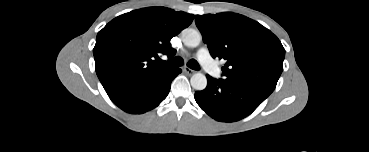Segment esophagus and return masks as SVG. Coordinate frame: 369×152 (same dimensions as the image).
Here are the masks:
<instances>
[{
  "instance_id": "34e87169",
  "label": "esophagus",
  "mask_w": 369,
  "mask_h": 152,
  "mask_svg": "<svg viewBox=\"0 0 369 152\" xmlns=\"http://www.w3.org/2000/svg\"><path fill=\"white\" fill-rule=\"evenodd\" d=\"M183 72H184L185 74L191 75V74H194V73H195V70H193V69H191V68H189V67H184V68H183Z\"/></svg>"
}]
</instances>
